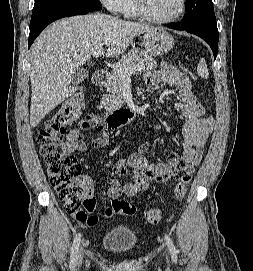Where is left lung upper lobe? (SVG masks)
I'll use <instances>...</instances> for the list:
<instances>
[{"instance_id":"5c2ea615","label":"left lung upper lobe","mask_w":253,"mask_h":271,"mask_svg":"<svg viewBox=\"0 0 253 271\" xmlns=\"http://www.w3.org/2000/svg\"><path fill=\"white\" fill-rule=\"evenodd\" d=\"M186 14L182 20L183 26L216 19L212 0H186Z\"/></svg>"}]
</instances>
